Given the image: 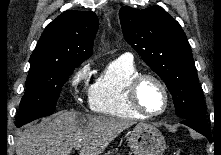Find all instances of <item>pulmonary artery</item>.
I'll use <instances>...</instances> for the list:
<instances>
[{"label":"pulmonary artery","mask_w":221,"mask_h":155,"mask_svg":"<svg viewBox=\"0 0 221 155\" xmlns=\"http://www.w3.org/2000/svg\"><path fill=\"white\" fill-rule=\"evenodd\" d=\"M121 57H124V58H127V59H132V56L129 53H125Z\"/></svg>","instance_id":"e3ab8cb5"}]
</instances>
